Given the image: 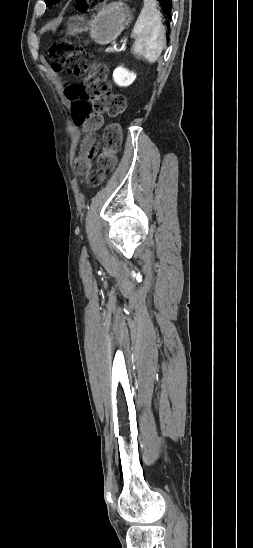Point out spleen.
<instances>
[{"instance_id":"1","label":"spleen","mask_w":253,"mask_h":548,"mask_svg":"<svg viewBox=\"0 0 253 548\" xmlns=\"http://www.w3.org/2000/svg\"><path fill=\"white\" fill-rule=\"evenodd\" d=\"M135 37L133 52L149 63L158 60L165 46V28L161 22V13L155 0H144V6L134 25Z\"/></svg>"}]
</instances>
